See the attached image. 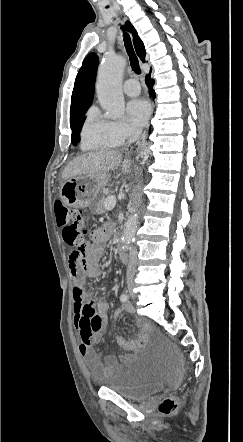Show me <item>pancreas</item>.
I'll return each mask as SVG.
<instances>
[{
    "label": "pancreas",
    "instance_id": "1",
    "mask_svg": "<svg viewBox=\"0 0 243 442\" xmlns=\"http://www.w3.org/2000/svg\"><path fill=\"white\" fill-rule=\"evenodd\" d=\"M107 191V190H105ZM112 198V196H108V197H103L101 198V200L97 203V207H96V212L97 213H105L106 212V208H105V203L108 199Z\"/></svg>",
    "mask_w": 243,
    "mask_h": 442
}]
</instances>
